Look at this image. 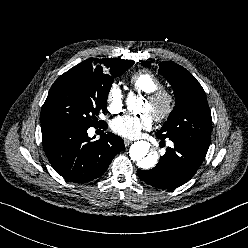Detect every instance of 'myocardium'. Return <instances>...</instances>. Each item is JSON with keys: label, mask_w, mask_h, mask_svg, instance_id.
Returning a JSON list of instances; mask_svg holds the SVG:
<instances>
[{"label": "myocardium", "mask_w": 248, "mask_h": 248, "mask_svg": "<svg viewBox=\"0 0 248 248\" xmlns=\"http://www.w3.org/2000/svg\"><path fill=\"white\" fill-rule=\"evenodd\" d=\"M146 100L154 107L153 118L157 122L168 119L175 108V97L168 89L160 87L147 94Z\"/></svg>", "instance_id": "myocardium-1"}]
</instances>
